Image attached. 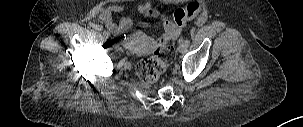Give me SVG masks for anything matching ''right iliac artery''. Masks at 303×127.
Segmentation results:
<instances>
[{"instance_id": "right-iliac-artery-1", "label": "right iliac artery", "mask_w": 303, "mask_h": 127, "mask_svg": "<svg viewBox=\"0 0 303 127\" xmlns=\"http://www.w3.org/2000/svg\"><path fill=\"white\" fill-rule=\"evenodd\" d=\"M95 29L98 30V31H102V30H103L102 26H100V25H96V26H95ZM103 35H104L106 38H108V37L110 36V35H109V32L106 31V30H103Z\"/></svg>"}]
</instances>
